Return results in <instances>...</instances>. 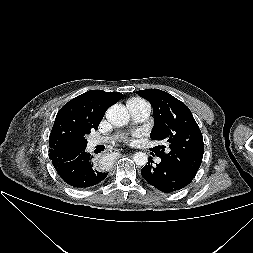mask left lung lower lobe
Wrapping results in <instances>:
<instances>
[{
    "instance_id": "1",
    "label": "left lung lower lobe",
    "mask_w": 253,
    "mask_h": 253,
    "mask_svg": "<svg viewBox=\"0 0 253 253\" xmlns=\"http://www.w3.org/2000/svg\"><path fill=\"white\" fill-rule=\"evenodd\" d=\"M152 163L153 161L149 159L142 168L141 175L151 186L162 192L171 193L180 190L193 180L165 161L161 160L156 165Z\"/></svg>"
}]
</instances>
